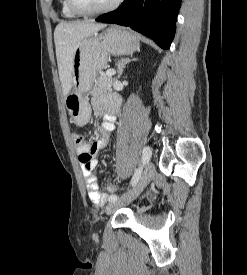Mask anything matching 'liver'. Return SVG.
<instances>
[{
  "mask_svg": "<svg viewBox=\"0 0 247 275\" xmlns=\"http://www.w3.org/2000/svg\"><path fill=\"white\" fill-rule=\"evenodd\" d=\"M105 27L104 23L90 21L62 22L56 26L54 31L56 58L65 97L72 89L73 58L77 44Z\"/></svg>",
  "mask_w": 247,
  "mask_h": 275,
  "instance_id": "liver-1",
  "label": "liver"
}]
</instances>
